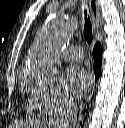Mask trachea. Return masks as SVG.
Returning <instances> with one entry per match:
<instances>
[{
  "label": "trachea",
  "instance_id": "1",
  "mask_svg": "<svg viewBox=\"0 0 125 128\" xmlns=\"http://www.w3.org/2000/svg\"><path fill=\"white\" fill-rule=\"evenodd\" d=\"M84 38L87 41L88 44H91L92 39H93V34H92V24L90 21V17L87 15V10H84Z\"/></svg>",
  "mask_w": 125,
  "mask_h": 128
}]
</instances>
